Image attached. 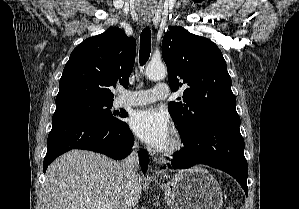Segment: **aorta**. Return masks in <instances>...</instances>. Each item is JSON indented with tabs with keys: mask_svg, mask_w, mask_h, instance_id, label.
<instances>
[{
	"mask_svg": "<svg viewBox=\"0 0 299 209\" xmlns=\"http://www.w3.org/2000/svg\"><path fill=\"white\" fill-rule=\"evenodd\" d=\"M166 74V67L162 63H149V65L146 68V76L150 80H161L166 76Z\"/></svg>",
	"mask_w": 299,
	"mask_h": 209,
	"instance_id": "1",
	"label": "aorta"
}]
</instances>
